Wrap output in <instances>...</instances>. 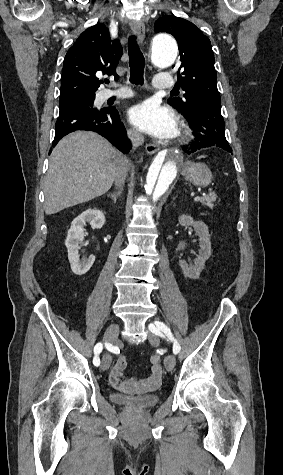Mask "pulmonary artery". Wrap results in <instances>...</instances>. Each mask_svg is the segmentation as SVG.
Instances as JSON below:
<instances>
[{
    "mask_svg": "<svg viewBox=\"0 0 283 475\" xmlns=\"http://www.w3.org/2000/svg\"><path fill=\"white\" fill-rule=\"evenodd\" d=\"M152 88L153 89H174L175 88V81L174 80H153L152 81ZM131 91L126 88H106L105 94L106 95H126L129 94Z\"/></svg>",
    "mask_w": 283,
    "mask_h": 475,
    "instance_id": "1",
    "label": "pulmonary artery"
}]
</instances>
